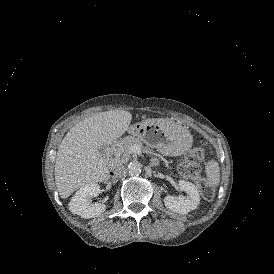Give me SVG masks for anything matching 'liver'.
<instances>
[{
  "label": "liver",
  "mask_w": 274,
  "mask_h": 274,
  "mask_svg": "<svg viewBox=\"0 0 274 274\" xmlns=\"http://www.w3.org/2000/svg\"><path fill=\"white\" fill-rule=\"evenodd\" d=\"M123 110L97 113L74 126L63 139L56 157L55 180L62 198L82 185L101 182L109 170L99 149L114 142L130 124Z\"/></svg>",
  "instance_id": "1"
}]
</instances>
